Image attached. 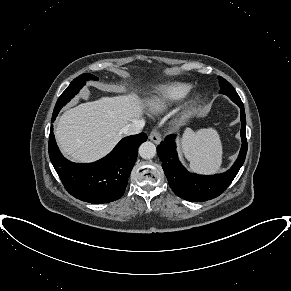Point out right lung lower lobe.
<instances>
[{"instance_id": "right-lung-lower-lobe-1", "label": "right lung lower lobe", "mask_w": 291, "mask_h": 291, "mask_svg": "<svg viewBox=\"0 0 291 291\" xmlns=\"http://www.w3.org/2000/svg\"><path fill=\"white\" fill-rule=\"evenodd\" d=\"M55 119L56 117L52 118V122ZM146 139L145 133L128 136L106 157L94 163H73L60 153L51 126L49 157L70 195L85 202L104 204L118 200L124 194L138 147Z\"/></svg>"}]
</instances>
